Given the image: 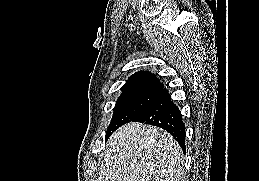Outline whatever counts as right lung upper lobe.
<instances>
[{"label":"right lung upper lobe","instance_id":"1","mask_svg":"<svg viewBox=\"0 0 259 181\" xmlns=\"http://www.w3.org/2000/svg\"><path fill=\"white\" fill-rule=\"evenodd\" d=\"M139 85H162L159 79L148 71H138L134 73L124 84L123 87ZM122 87V88H123Z\"/></svg>","mask_w":259,"mask_h":181}]
</instances>
